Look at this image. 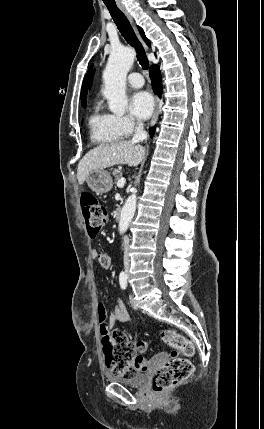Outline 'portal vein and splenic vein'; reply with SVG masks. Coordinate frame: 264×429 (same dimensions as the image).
<instances>
[{"mask_svg":"<svg viewBox=\"0 0 264 429\" xmlns=\"http://www.w3.org/2000/svg\"><path fill=\"white\" fill-rule=\"evenodd\" d=\"M126 183V179L124 177H121L118 181H117V186L118 187H123Z\"/></svg>","mask_w":264,"mask_h":429,"instance_id":"portal-vein-and-splenic-vein-1","label":"portal vein and splenic vein"}]
</instances>
